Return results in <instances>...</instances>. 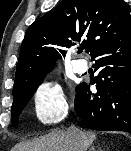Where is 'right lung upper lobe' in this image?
I'll return each mask as SVG.
<instances>
[{"mask_svg":"<svg viewBox=\"0 0 131 151\" xmlns=\"http://www.w3.org/2000/svg\"><path fill=\"white\" fill-rule=\"evenodd\" d=\"M129 32L131 16L124 0H63L27 29L13 90L50 71L61 57L58 47L70 48L78 41L79 49L91 55ZM58 50L66 55L65 50Z\"/></svg>","mask_w":131,"mask_h":151,"instance_id":"obj_1","label":"right lung upper lobe"}]
</instances>
